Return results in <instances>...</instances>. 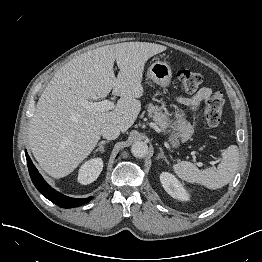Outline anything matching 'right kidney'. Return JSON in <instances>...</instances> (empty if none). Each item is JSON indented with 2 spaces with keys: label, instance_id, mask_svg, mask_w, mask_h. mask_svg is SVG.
Returning <instances> with one entry per match:
<instances>
[{
  "label": "right kidney",
  "instance_id": "obj_1",
  "mask_svg": "<svg viewBox=\"0 0 262 262\" xmlns=\"http://www.w3.org/2000/svg\"><path fill=\"white\" fill-rule=\"evenodd\" d=\"M103 169L101 158L90 159L85 162L79 169L78 182L87 185L95 181Z\"/></svg>",
  "mask_w": 262,
  "mask_h": 262
}]
</instances>
